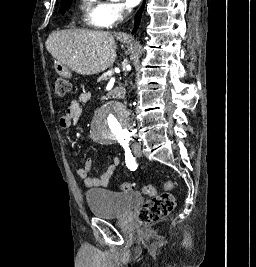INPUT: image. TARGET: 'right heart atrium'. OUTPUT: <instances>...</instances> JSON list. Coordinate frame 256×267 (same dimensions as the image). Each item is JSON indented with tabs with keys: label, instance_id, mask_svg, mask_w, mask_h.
<instances>
[{
	"label": "right heart atrium",
	"instance_id": "obj_1",
	"mask_svg": "<svg viewBox=\"0 0 256 267\" xmlns=\"http://www.w3.org/2000/svg\"><path fill=\"white\" fill-rule=\"evenodd\" d=\"M123 17V12L120 7L115 6L113 12L111 13L109 20L111 25L114 22L121 21Z\"/></svg>",
	"mask_w": 256,
	"mask_h": 267
}]
</instances>
